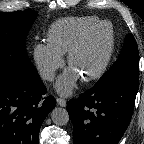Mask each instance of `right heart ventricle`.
I'll list each match as a JSON object with an SVG mask.
<instances>
[{"instance_id":"e07e8e85","label":"right heart ventricle","mask_w":144,"mask_h":144,"mask_svg":"<svg viewBox=\"0 0 144 144\" xmlns=\"http://www.w3.org/2000/svg\"><path fill=\"white\" fill-rule=\"evenodd\" d=\"M100 22L93 16L67 17L54 22L48 32V43L61 55L68 52L72 43L88 28Z\"/></svg>"}]
</instances>
